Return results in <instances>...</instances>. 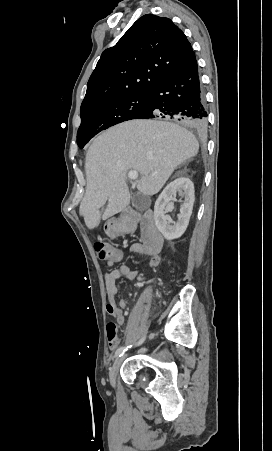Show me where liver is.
Segmentation results:
<instances>
[{
	"mask_svg": "<svg viewBox=\"0 0 272 451\" xmlns=\"http://www.w3.org/2000/svg\"><path fill=\"white\" fill-rule=\"evenodd\" d=\"M198 150L194 134L172 122L130 120L102 132L86 154L87 188L79 208L86 226L93 229L101 216L107 220L129 206L128 170H137L141 176L137 190L154 196L177 166Z\"/></svg>",
	"mask_w": 272,
	"mask_h": 451,
	"instance_id": "1",
	"label": "liver"
}]
</instances>
